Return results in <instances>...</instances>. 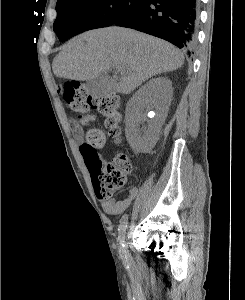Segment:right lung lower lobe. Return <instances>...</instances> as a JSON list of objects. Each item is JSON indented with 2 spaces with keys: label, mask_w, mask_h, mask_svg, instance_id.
<instances>
[{
  "label": "right lung lower lobe",
  "mask_w": 245,
  "mask_h": 300,
  "mask_svg": "<svg viewBox=\"0 0 245 300\" xmlns=\"http://www.w3.org/2000/svg\"><path fill=\"white\" fill-rule=\"evenodd\" d=\"M197 22L198 0H148L115 25L162 38L191 53Z\"/></svg>",
  "instance_id": "98d812e1"
}]
</instances>
